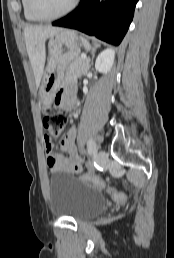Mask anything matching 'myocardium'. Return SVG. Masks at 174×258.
I'll list each match as a JSON object with an SVG mask.
<instances>
[{"mask_svg":"<svg viewBox=\"0 0 174 258\" xmlns=\"http://www.w3.org/2000/svg\"><path fill=\"white\" fill-rule=\"evenodd\" d=\"M27 1H28L29 11L31 12V14L35 18H37L40 21H53V20L62 18L64 16L70 14L76 8V6L79 3V0H73L71 2V4L65 10H63L62 12H60V13H58L56 15H52V16H45V15L40 14L37 11V9L35 8V5H34V0H27Z\"/></svg>","mask_w":174,"mask_h":258,"instance_id":"myocardium-1","label":"myocardium"}]
</instances>
